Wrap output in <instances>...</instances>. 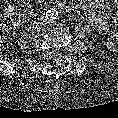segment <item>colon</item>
<instances>
[{
	"instance_id": "1",
	"label": "colon",
	"mask_w": 118,
	"mask_h": 118,
	"mask_svg": "<svg viewBox=\"0 0 118 118\" xmlns=\"http://www.w3.org/2000/svg\"><path fill=\"white\" fill-rule=\"evenodd\" d=\"M29 0H6L0 23L4 26L11 25L21 17L30 13Z\"/></svg>"
}]
</instances>
